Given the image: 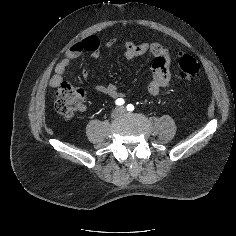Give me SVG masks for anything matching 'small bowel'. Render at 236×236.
Wrapping results in <instances>:
<instances>
[{"label": "small bowel", "mask_w": 236, "mask_h": 236, "mask_svg": "<svg viewBox=\"0 0 236 236\" xmlns=\"http://www.w3.org/2000/svg\"><path fill=\"white\" fill-rule=\"evenodd\" d=\"M114 44L113 39L107 40L105 47H111ZM102 42L96 35H90L75 42L70 46L65 54V57L56 65L54 74L50 78V86L58 88L62 83H65V74L71 62L79 58L83 53H89L92 58L100 56ZM150 53L154 60L152 65V77L148 83L147 90L151 95H158L163 89L168 88L171 83V57L165 46L158 42H143L136 44L128 40L124 44V56L127 59H134ZM85 80H89L90 74L87 70L82 72ZM94 89L102 94H105L113 99L122 97V93L115 84H95Z\"/></svg>", "instance_id": "obj_1"}]
</instances>
